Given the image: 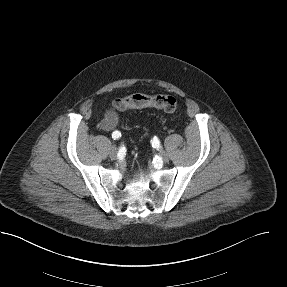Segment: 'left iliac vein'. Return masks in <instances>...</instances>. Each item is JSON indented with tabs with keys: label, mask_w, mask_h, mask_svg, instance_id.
Returning a JSON list of instances; mask_svg holds the SVG:
<instances>
[{
	"label": "left iliac vein",
	"mask_w": 287,
	"mask_h": 287,
	"mask_svg": "<svg viewBox=\"0 0 287 287\" xmlns=\"http://www.w3.org/2000/svg\"><path fill=\"white\" fill-rule=\"evenodd\" d=\"M160 156H161V159H162L163 162H168L169 161V157H168V155L165 152H162L160 154Z\"/></svg>",
	"instance_id": "left-iliac-vein-1"
}]
</instances>
